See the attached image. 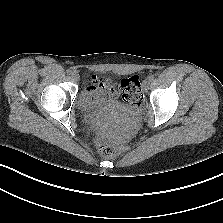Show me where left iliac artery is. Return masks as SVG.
I'll use <instances>...</instances> for the list:
<instances>
[{
  "label": "left iliac artery",
  "mask_w": 223,
  "mask_h": 223,
  "mask_svg": "<svg viewBox=\"0 0 223 223\" xmlns=\"http://www.w3.org/2000/svg\"><path fill=\"white\" fill-rule=\"evenodd\" d=\"M154 75H150V76H148V80L151 82V81H153L154 80Z\"/></svg>",
  "instance_id": "1"
}]
</instances>
